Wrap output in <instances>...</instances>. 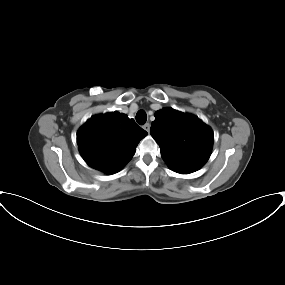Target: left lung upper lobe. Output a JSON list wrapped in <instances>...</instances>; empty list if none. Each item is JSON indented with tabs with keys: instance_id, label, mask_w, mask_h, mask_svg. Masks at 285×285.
Here are the masks:
<instances>
[{
	"instance_id": "obj_1",
	"label": "left lung upper lobe",
	"mask_w": 285,
	"mask_h": 285,
	"mask_svg": "<svg viewBox=\"0 0 285 285\" xmlns=\"http://www.w3.org/2000/svg\"><path fill=\"white\" fill-rule=\"evenodd\" d=\"M150 134L173 171L194 172L210 157L212 129L194 115L163 108L155 113Z\"/></svg>"
}]
</instances>
